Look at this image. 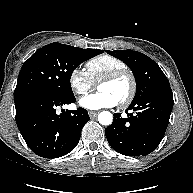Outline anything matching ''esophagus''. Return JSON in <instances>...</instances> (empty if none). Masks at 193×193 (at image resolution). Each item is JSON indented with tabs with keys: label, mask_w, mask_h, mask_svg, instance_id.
Returning <instances> with one entry per match:
<instances>
[{
	"label": "esophagus",
	"mask_w": 193,
	"mask_h": 193,
	"mask_svg": "<svg viewBox=\"0 0 193 193\" xmlns=\"http://www.w3.org/2000/svg\"><path fill=\"white\" fill-rule=\"evenodd\" d=\"M88 114L91 118H94L98 115V111H89Z\"/></svg>",
	"instance_id": "esophagus-1"
}]
</instances>
